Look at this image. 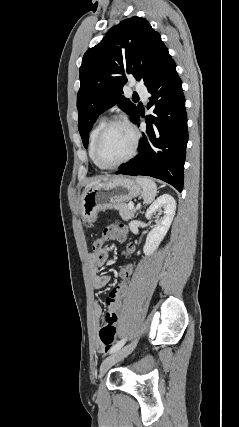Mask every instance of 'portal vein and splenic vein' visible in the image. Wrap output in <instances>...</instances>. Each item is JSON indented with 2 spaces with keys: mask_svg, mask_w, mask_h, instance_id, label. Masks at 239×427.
I'll return each mask as SVG.
<instances>
[{
  "mask_svg": "<svg viewBox=\"0 0 239 427\" xmlns=\"http://www.w3.org/2000/svg\"><path fill=\"white\" fill-rule=\"evenodd\" d=\"M129 208H130V209H135V208H134V204H133V203H130V204H129Z\"/></svg>",
  "mask_w": 239,
  "mask_h": 427,
  "instance_id": "18ae733b",
  "label": "portal vein and splenic vein"
}]
</instances>
